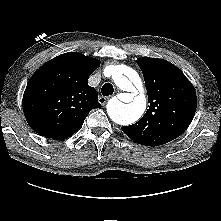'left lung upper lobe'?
Wrapping results in <instances>:
<instances>
[{"mask_svg":"<svg viewBox=\"0 0 221 221\" xmlns=\"http://www.w3.org/2000/svg\"><path fill=\"white\" fill-rule=\"evenodd\" d=\"M150 103L145 115L122 127L134 142L159 146L179 137L190 125L196 111V93L191 82L172 63L158 58L137 60Z\"/></svg>","mask_w":221,"mask_h":221,"instance_id":"obj_1","label":"left lung upper lobe"}]
</instances>
